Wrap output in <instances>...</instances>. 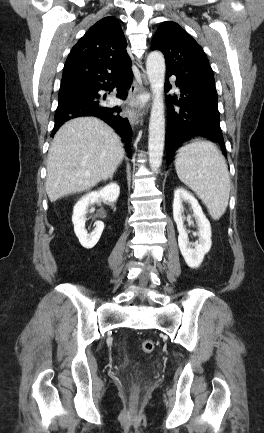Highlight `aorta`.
<instances>
[{"mask_svg": "<svg viewBox=\"0 0 264 433\" xmlns=\"http://www.w3.org/2000/svg\"><path fill=\"white\" fill-rule=\"evenodd\" d=\"M146 70L153 93L148 137L149 164L151 170L158 173L162 164L165 141V110L163 101L165 59L162 53L153 51L148 55Z\"/></svg>", "mask_w": 264, "mask_h": 433, "instance_id": "762f6f07", "label": "aorta"}]
</instances>
